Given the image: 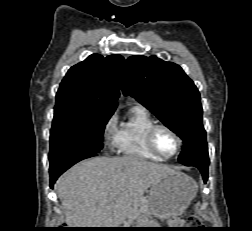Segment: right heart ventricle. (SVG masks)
I'll return each mask as SVG.
<instances>
[{"instance_id":"e07e8e85","label":"right heart ventricle","mask_w":252,"mask_h":231,"mask_svg":"<svg viewBox=\"0 0 252 231\" xmlns=\"http://www.w3.org/2000/svg\"><path fill=\"white\" fill-rule=\"evenodd\" d=\"M156 124L143 107H134L128 119L119 127L114 137V147L125 156L151 161H161L147 145V133Z\"/></svg>"}]
</instances>
